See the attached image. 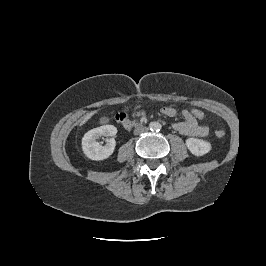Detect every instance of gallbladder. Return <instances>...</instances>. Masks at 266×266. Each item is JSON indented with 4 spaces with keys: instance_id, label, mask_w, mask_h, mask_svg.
Segmentation results:
<instances>
[{
    "instance_id": "1",
    "label": "gallbladder",
    "mask_w": 266,
    "mask_h": 266,
    "mask_svg": "<svg viewBox=\"0 0 266 266\" xmlns=\"http://www.w3.org/2000/svg\"><path fill=\"white\" fill-rule=\"evenodd\" d=\"M103 121H108V118H106V117H105V118H103Z\"/></svg>"
}]
</instances>
